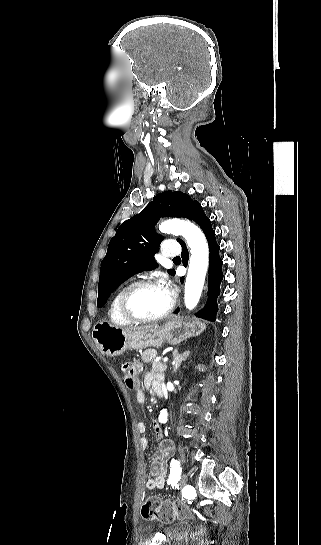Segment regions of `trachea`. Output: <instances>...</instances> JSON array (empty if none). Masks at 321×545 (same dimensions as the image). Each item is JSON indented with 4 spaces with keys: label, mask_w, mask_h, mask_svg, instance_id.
I'll return each instance as SVG.
<instances>
[{
    "label": "trachea",
    "mask_w": 321,
    "mask_h": 545,
    "mask_svg": "<svg viewBox=\"0 0 321 545\" xmlns=\"http://www.w3.org/2000/svg\"><path fill=\"white\" fill-rule=\"evenodd\" d=\"M173 261L175 263L176 261H181V259H180V257H175V258H173Z\"/></svg>",
    "instance_id": "3493384b"
}]
</instances>
